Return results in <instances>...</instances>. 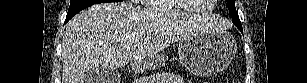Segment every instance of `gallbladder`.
<instances>
[{"instance_id": "1", "label": "gallbladder", "mask_w": 307, "mask_h": 83, "mask_svg": "<svg viewBox=\"0 0 307 83\" xmlns=\"http://www.w3.org/2000/svg\"><path fill=\"white\" fill-rule=\"evenodd\" d=\"M120 74L116 70L93 68L87 71L84 83H118Z\"/></svg>"}]
</instances>
